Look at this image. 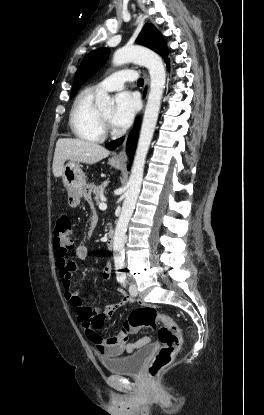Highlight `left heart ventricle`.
Listing matches in <instances>:
<instances>
[{"mask_svg":"<svg viewBox=\"0 0 264 415\" xmlns=\"http://www.w3.org/2000/svg\"><path fill=\"white\" fill-rule=\"evenodd\" d=\"M101 113L103 114V116L110 122V123H112L111 122V117H112V113H113V110L112 109H104V110H101Z\"/></svg>","mask_w":264,"mask_h":415,"instance_id":"1","label":"left heart ventricle"}]
</instances>
